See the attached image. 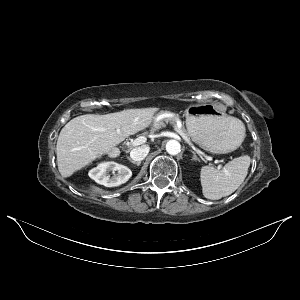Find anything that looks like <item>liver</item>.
<instances>
[{"label": "liver", "instance_id": "6515ba94", "mask_svg": "<svg viewBox=\"0 0 300 300\" xmlns=\"http://www.w3.org/2000/svg\"><path fill=\"white\" fill-rule=\"evenodd\" d=\"M155 108L128 109L106 115L86 114L73 118L61 130L57 165L63 177L109 153L125 138L149 127ZM234 118V117H232Z\"/></svg>", "mask_w": 300, "mask_h": 300}]
</instances>
